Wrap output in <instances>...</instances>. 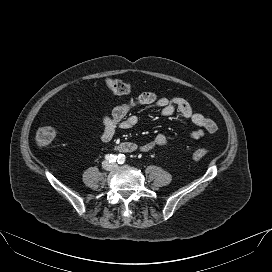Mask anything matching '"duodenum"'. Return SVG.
Listing matches in <instances>:
<instances>
[{
    "mask_svg": "<svg viewBox=\"0 0 272 272\" xmlns=\"http://www.w3.org/2000/svg\"><path fill=\"white\" fill-rule=\"evenodd\" d=\"M116 150L121 153H131L136 150V146L133 143L125 142L116 147Z\"/></svg>",
    "mask_w": 272,
    "mask_h": 272,
    "instance_id": "1",
    "label": "duodenum"
}]
</instances>
